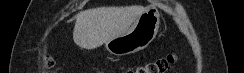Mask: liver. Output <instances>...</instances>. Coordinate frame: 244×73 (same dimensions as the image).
<instances>
[{
  "label": "liver",
  "mask_w": 244,
  "mask_h": 73,
  "mask_svg": "<svg viewBox=\"0 0 244 73\" xmlns=\"http://www.w3.org/2000/svg\"><path fill=\"white\" fill-rule=\"evenodd\" d=\"M144 9L143 6L133 5L98 7L81 11L74 17L76 22L73 40L80 48L95 49L126 32Z\"/></svg>",
  "instance_id": "1"
}]
</instances>
